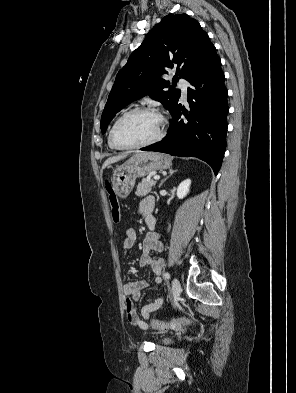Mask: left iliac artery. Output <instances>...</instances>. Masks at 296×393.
Listing matches in <instances>:
<instances>
[{
  "instance_id": "1",
  "label": "left iliac artery",
  "mask_w": 296,
  "mask_h": 393,
  "mask_svg": "<svg viewBox=\"0 0 296 393\" xmlns=\"http://www.w3.org/2000/svg\"><path fill=\"white\" fill-rule=\"evenodd\" d=\"M163 276H164L165 279H170V278H171V275H170L169 272H165V273L163 274Z\"/></svg>"
}]
</instances>
